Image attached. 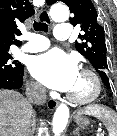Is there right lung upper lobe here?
Segmentation results:
<instances>
[{"mask_svg":"<svg viewBox=\"0 0 117 136\" xmlns=\"http://www.w3.org/2000/svg\"><path fill=\"white\" fill-rule=\"evenodd\" d=\"M33 14L29 0H0V53L9 51L15 36L21 35L19 25Z\"/></svg>","mask_w":117,"mask_h":136,"instance_id":"obj_1","label":"right lung upper lobe"}]
</instances>
